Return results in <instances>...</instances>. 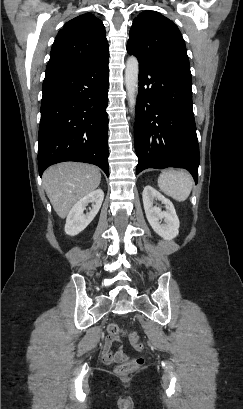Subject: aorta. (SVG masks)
<instances>
[{"label": "aorta", "mask_w": 243, "mask_h": 409, "mask_svg": "<svg viewBox=\"0 0 243 409\" xmlns=\"http://www.w3.org/2000/svg\"><path fill=\"white\" fill-rule=\"evenodd\" d=\"M139 63L136 57L130 56L126 61L125 85L128 94V103L131 113H135L138 92Z\"/></svg>", "instance_id": "aorta-1"}]
</instances>
